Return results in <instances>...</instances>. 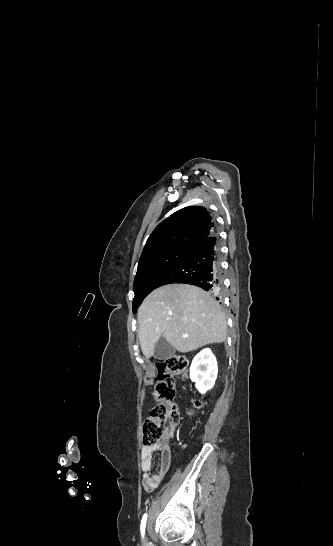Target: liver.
<instances>
[{"instance_id": "6515ba94", "label": "liver", "mask_w": 333, "mask_h": 546, "mask_svg": "<svg viewBox=\"0 0 333 546\" xmlns=\"http://www.w3.org/2000/svg\"><path fill=\"white\" fill-rule=\"evenodd\" d=\"M141 350L150 358L163 337L181 353L226 339L227 320L219 303L199 287L168 284L152 291L138 310Z\"/></svg>"}]
</instances>
